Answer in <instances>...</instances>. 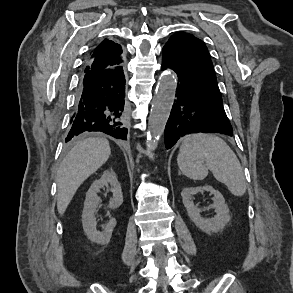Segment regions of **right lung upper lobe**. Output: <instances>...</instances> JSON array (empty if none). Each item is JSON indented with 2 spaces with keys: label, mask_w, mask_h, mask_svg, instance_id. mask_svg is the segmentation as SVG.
I'll list each match as a JSON object with an SVG mask.
<instances>
[{
  "label": "right lung upper lobe",
  "mask_w": 293,
  "mask_h": 293,
  "mask_svg": "<svg viewBox=\"0 0 293 293\" xmlns=\"http://www.w3.org/2000/svg\"><path fill=\"white\" fill-rule=\"evenodd\" d=\"M122 64L121 45L111 40H104L88 58L85 72L113 69Z\"/></svg>",
  "instance_id": "obj_1"
}]
</instances>
